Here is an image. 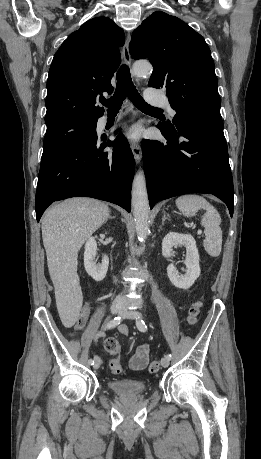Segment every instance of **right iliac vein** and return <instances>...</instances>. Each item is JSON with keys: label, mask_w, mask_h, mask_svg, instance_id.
Returning <instances> with one entry per match:
<instances>
[{"label": "right iliac vein", "mask_w": 261, "mask_h": 459, "mask_svg": "<svg viewBox=\"0 0 261 459\" xmlns=\"http://www.w3.org/2000/svg\"><path fill=\"white\" fill-rule=\"evenodd\" d=\"M124 306L122 303H119V302H114L111 306V312L113 314H117V313H121V311L123 310ZM102 361L101 359L98 357L95 362H94V369H98L101 365Z\"/></svg>", "instance_id": "1"}]
</instances>
